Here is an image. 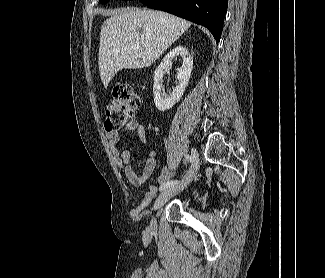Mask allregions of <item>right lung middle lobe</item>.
Segmentation results:
<instances>
[{
	"label": "right lung middle lobe",
	"mask_w": 325,
	"mask_h": 278,
	"mask_svg": "<svg viewBox=\"0 0 325 278\" xmlns=\"http://www.w3.org/2000/svg\"><path fill=\"white\" fill-rule=\"evenodd\" d=\"M109 0H100L101 3L106 4Z\"/></svg>",
	"instance_id": "obj_1"
}]
</instances>
